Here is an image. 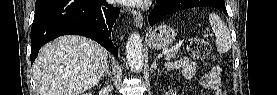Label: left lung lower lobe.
<instances>
[{
  "label": "left lung lower lobe",
  "mask_w": 277,
  "mask_h": 95,
  "mask_svg": "<svg viewBox=\"0 0 277 95\" xmlns=\"http://www.w3.org/2000/svg\"><path fill=\"white\" fill-rule=\"evenodd\" d=\"M203 0H157L158 4L148 16V21L151 26L162 20L165 16L187 8L197 7ZM216 8V7H215ZM217 9L227 14L225 5L217 7Z\"/></svg>",
  "instance_id": "left-lung-lower-lobe-1"
}]
</instances>
